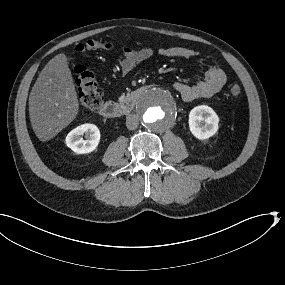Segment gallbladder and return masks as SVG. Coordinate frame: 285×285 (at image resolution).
Listing matches in <instances>:
<instances>
[{
	"label": "gallbladder",
	"instance_id": "1",
	"mask_svg": "<svg viewBox=\"0 0 285 285\" xmlns=\"http://www.w3.org/2000/svg\"><path fill=\"white\" fill-rule=\"evenodd\" d=\"M75 60V57H70L69 58V61H74Z\"/></svg>",
	"mask_w": 285,
	"mask_h": 285
}]
</instances>
